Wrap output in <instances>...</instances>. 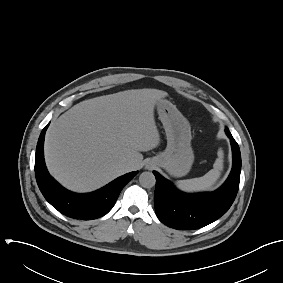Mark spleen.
Masks as SVG:
<instances>
[{
	"instance_id": "1",
	"label": "spleen",
	"mask_w": 283,
	"mask_h": 283,
	"mask_svg": "<svg viewBox=\"0 0 283 283\" xmlns=\"http://www.w3.org/2000/svg\"><path fill=\"white\" fill-rule=\"evenodd\" d=\"M222 170L223 151L220 149L218 151V158L213 165V169L199 178L179 180L176 182V186L178 187V189L184 192H199L209 190L220 178Z\"/></svg>"
}]
</instances>
